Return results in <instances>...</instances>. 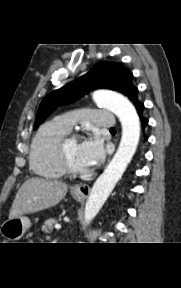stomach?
<instances>
[{
    "mask_svg": "<svg viewBox=\"0 0 181 288\" xmlns=\"http://www.w3.org/2000/svg\"><path fill=\"white\" fill-rule=\"evenodd\" d=\"M72 197L77 201H80L83 198L76 193H72ZM30 226V219L24 216H16L9 218L1 225L0 233L7 241H18L23 237Z\"/></svg>",
    "mask_w": 181,
    "mask_h": 288,
    "instance_id": "1",
    "label": "stomach"
}]
</instances>
